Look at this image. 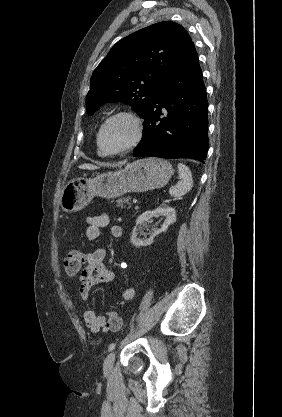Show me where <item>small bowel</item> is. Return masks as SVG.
Here are the masks:
<instances>
[{
  "label": "small bowel",
  "mask_w": 282,
  "mask_h": 417,
  "mask_svg": "<svg viewBox=\"0 0 282 417\" xmlns=\"http://www.w3.org/2000/svg\"><path fill=\"white\" fill-rule=\"evenodd\" d=\"M86 237L88 240L95 241L100 236L101 228L109 224V217L106 213L86 216ZM110 234L114 238L123 236V228L118 224L110 226ZM106 258V249L97 247L85 255V267L80 272L79 298L87 300L91 290L99 284L111 282L114 279V272L107 266L104 261ZM135 296V289L127 287L121 292V298L124 301H130ZM83 319L86 326L92 332H99L106 329L103 326L104 315L97 316L93 311L86 309L83 312Z\"/></svg>",
  "instance_id": "1"
}]
</instances>
